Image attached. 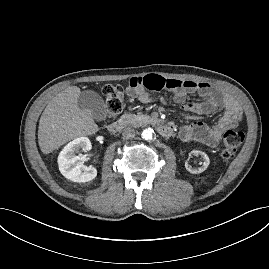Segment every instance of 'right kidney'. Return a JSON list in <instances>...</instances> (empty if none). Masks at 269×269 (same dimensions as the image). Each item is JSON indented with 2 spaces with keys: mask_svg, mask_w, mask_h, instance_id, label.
<instances>
[{
  "mask_svg": "<svg viewBox=\"0 0 269 269\" xmlns=\"http://www.w3.org/2000/svg\"><path fill=\"white\" fill-rule=\"evenodd\" d=\"M92 145L87 137H79L68 143L58 156V165L61 174L78 183L88 182L97 176L96 168L84 166L81 157L75 153L91 150Z\"/></svg>",
  "mask_w": 269,
  "mask_h": 269,
  "instance_id": "ca27d5eb",
  "label": "right kidney"
}]
</instances>
